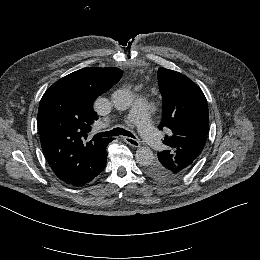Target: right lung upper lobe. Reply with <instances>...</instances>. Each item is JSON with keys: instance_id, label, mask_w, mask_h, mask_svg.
Listing matches in <instances>:
<instances>
[{"instance_id": "1", "label": "right lung upper lobe", "mask_w": 260, "mask_h": 260, "mask_svg": "<svg viewBox=\"0 0 260 260\" xmlns=\"http://www.w3.org/2000/svg\"><path fill=\"white\" fill-rule=\"evenodd\" d=\"M121 75L116 67H87L58 80L44 93L38 109L41 147L63 182L85 178L106 163V147L113 138L87 139L98 119L92 104Z\"/></svg>"}]
</instances>
